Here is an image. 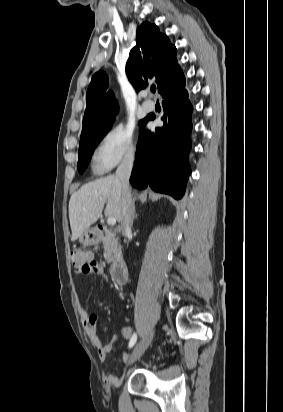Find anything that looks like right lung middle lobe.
<instances>
[{"instance_id":"right-lung-middle-lobe-1","label":"right lung middle lobe","mask_w":283,"mask_h":412,"mask_svg":"<svg viewBox=\"0 0 283 412\" xmlns=\"http://www.w3.org/2000/svg\"><path fill=\"white\" fill-rule=\"evenodd\" d=\"M142 121L143 120L140 121L139 125L142 124ZM109 130L110 129L103 132H97L80 139L78 171L81 174L87 168L95 148Z\"/></svg>"}]
</instances>
